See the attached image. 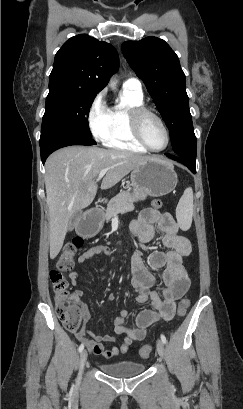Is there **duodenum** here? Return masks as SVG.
<instances>
[{
    "instance_id": "duodenum-1",
    "label": "duodenum",
    "mask_w": 243,
    "mask_h": 409,
    "mask_svg": "<svg viewBox=\"0 0 243 409\" xmlns=\"http://www.w3.org/2000/svg\"><path fill=\"white\" fill-rule=\"evenodd\" d=\"M93 211L99 215L102 214V211L99 208H94Z\"/></svg>"
}]
</instances>
